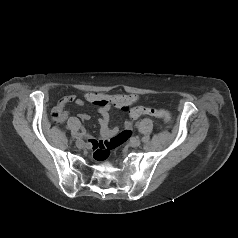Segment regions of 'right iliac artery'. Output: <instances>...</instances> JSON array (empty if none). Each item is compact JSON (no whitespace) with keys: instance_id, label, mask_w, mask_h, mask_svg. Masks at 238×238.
Segmentation results:
<instances>
[{"instance_id":"right-iliac-artery-1","label":"right iliac artery","mask_w":238,"mask_h":238,"mask_svg":"<svg viewBox=\"0 0 238 238\" xmlns=\"http://www.w3.org/2000/svg\"><path fill=\"white\" fill-rule=\"evenodd\" d=\"M84 136V134L83 133H79V134H77V138H82Z\"/></svg>"}]
</instances>
